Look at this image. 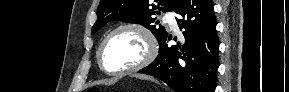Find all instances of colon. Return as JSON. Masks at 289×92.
<instances>
[{"label": "colon", "instance_id": "1", "mask_svg": "<svg viewBox=\"0 0 289 92\" xmlns=\"http://www.w3.org/2000/svg\"><path fill=\"white\" fill-rule=\"evenodd\" d=\"M88 92H101L99 88H91Z\"/></svg>", "mask_w": 289, "mask_h": 92}]
</instances>
